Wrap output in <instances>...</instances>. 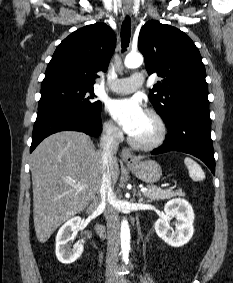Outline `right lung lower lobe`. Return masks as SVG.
I'll list each match as a JSON object with an SVG mask.
<instances>
[{"instance_id": "obj_1", "label": "right lung lower lobe", "mask_w": 233, "mask_h": 283, "mask_svg": "<svg viewBox=\"0 0 233 283\" xmlns=\"http://www.w3.org/2000/svg\"><path fill=\"white\" fill-rule=\"evenodd\" d=\"M100 113L89 114L63 107L38 110L30 152L47 136L59 131H79L98 136L102 129Z\"/></svg>"}]
</instances>
